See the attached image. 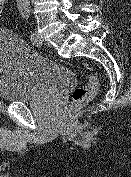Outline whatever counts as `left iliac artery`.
I'll return each instance as SVG.
<instances>
[{"mask_svg": "<svg viewBox=\"0 0 131 177\" xmlns=\"http://www.w3.org/2000/svg\"><path fill=\"white\" fill-rule=\"evenodd\" d=\"M21 15L24 19H28L29 18V15H30V11L28 8H21ZM30 39H31V42L35 45H37V37H36V34L34 32H31V35H30Z\"/></svg>", "mask_w": 131, "mask_h": 177, "instance_id": "obj_1", "label": "left iliac artery"}]
</instances>
